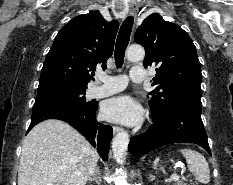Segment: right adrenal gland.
<instances>
[{"label": "right adrenal gland", "mask_w": 233, "mask_h": 185, "mask_svg": "<svg viewBox=\"0 0 233 185\" xmlns=\"http://www.w3.org/2000/svg\"><path fill=\"white\" fill-rule=\"evenodd\" d=\"M100 175H101L100 168L97 167L95 169L94 173L89 178V182L95 181L97 184H100L101 183V177H100Z\"/></svg>", "instance_id": "obj_1"}]
</instances>
